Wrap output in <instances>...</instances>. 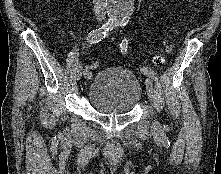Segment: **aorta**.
Segmentation results:
<instances>
[{"label": "aorta", "mask_w": 221, "mask_h": 174, "mask_svg": "<svg viewBox=\"0 0 221 174\" xmlns=\"http://www.w3.org/2000/svg\"><path fill=\"white\" fill-rule=\"evenodd\" d=\"M106 5L111 20L126 22L133 13L134 0H106Z\"/></svg>", "instance_id": "1"}]
</instances>
